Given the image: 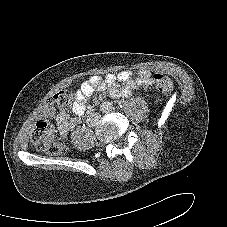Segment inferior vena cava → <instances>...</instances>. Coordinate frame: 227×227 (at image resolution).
<instances>
[{
  "instance_id": "602c4592",
  "label": "inferior vena cava",
  "mask_w": 227,
  "mask_h": 227,
  "mask_svg": "<svg viewBox=\"0 0 227 227\" xmlns=\"http://www.w3.org/2000/svg\"><path fill=\"white\" fill-rule=\"evenodd\" d=\"M111 110V105L109 102H103L101 104V111L103 112H109Z\"/></svg>"
}]
</instances>
